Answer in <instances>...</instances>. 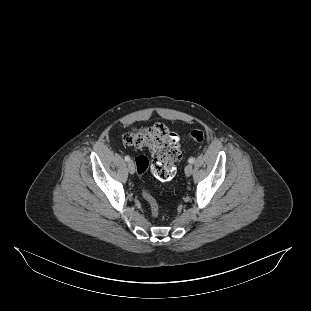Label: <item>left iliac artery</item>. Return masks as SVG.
Wrapping results in <instances>:
<instances>
[{
	"instance_id": "44dca946",
	"label": "left iliac artery",
	"mask_w": 311,
	"mask_h": 311,
	"mask_svg": "<svg viewBox=\"0 0 311 311\" xmlns=\"http://www.w3.org/2000/svg\"><path fill=\"white\" fill-rule=\"evenodd\" d=\"M188 162L191 164L194 163V158L193 157L189 158Z\"/></svg>"
}]
</instances>
